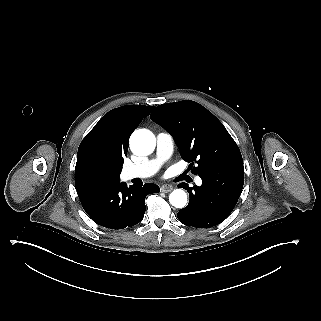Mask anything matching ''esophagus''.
Wrapping results in <instances>:
<instances>
[{"mask_svg":"<svg viewBox=\"0 0 321 321\" xmlns=\"http://www.w3.org/2000/svg\"><path fill=\"white\" fill-rule=\"evenodd\" d=\"M160 189H161V192L163 193H169L173 190V186L170 184H165V185H162Z\"/></svg>","mask_w":321,"mask_h":321,"instance_id":"1","label":"esophagus"}]
</instances>
